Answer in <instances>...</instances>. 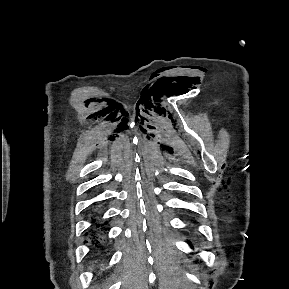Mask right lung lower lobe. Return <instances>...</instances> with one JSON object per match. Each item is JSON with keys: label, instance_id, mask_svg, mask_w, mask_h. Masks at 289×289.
Instances as JSON below:
<instances>
[{"label": "right lung lower lobe", "instance_id": "98d812e1", "mask_svg": "<svg viewBox=\"0 0 289 289\" xmlns=\"http://www.w3.org/2000/svg\"><path fill=\"white\" fill-rule=\"evenodd\" d=\"M105 225L106 223H95L94 227L90 230V238L95 242L96 246L97 244H100L104 236V232L106 230Z\"/></svg>", "mask_w": 289, "mask_h": 289}]
</instances>
